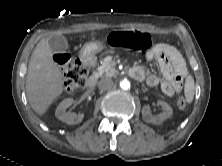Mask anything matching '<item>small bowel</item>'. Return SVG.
<instances>
[{
	"instance_id": "1",
	"label": "small bowel",
	"mask_w": 222,
	"mask_h": 166,
	"mask_svg": "<svg viewBox=\"0 0 222 166\" xmlns=\"http://www.w3.org/2000/svg\"><path fill=\"white\" fill-rule=\"evenodd\" d=\"M146 59L158 62L164 78L161 80L156 74L135 67L133 70L139 74L138 80H145L150 87L160 86L167 96L181 92L188 71L185 60L175 47L165 43L157 44L146 53Z\"/></svg>"
}]
</instances>
